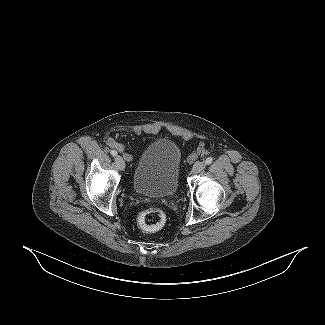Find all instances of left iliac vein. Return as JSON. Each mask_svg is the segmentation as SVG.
<instances>
[{
  "label": "left iliac vein",
  "mask_w": 325,
  "mask_h": 325,
  "mask_svg": "<svg viewBox=\"0 0 325 325\" xmlns=\"http://www.w3.org/2000/svg\"><path fill=\"white\" fill-rule=\"evenodd\" d=\"M206 167V163L204 161H198L194 164L192 168V173L197 174L200 173Z\"/></svg>",
  "instance_id": "obj_1"
}]
</instances>
